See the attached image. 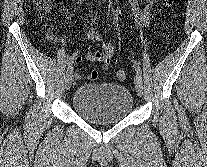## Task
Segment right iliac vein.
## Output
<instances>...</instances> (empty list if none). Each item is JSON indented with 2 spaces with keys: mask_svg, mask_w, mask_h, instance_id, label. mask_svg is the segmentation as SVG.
I'll return each mask as SVG.
<instances>
[{
  "mask_svg": "<svg viewBox=\"0 0 207 167\" xmlns=\"http://www.w3.org/2000/svg\"><path fill=\"white\" fill-rule=\"evenodd\" d=\"M73 67L69 68V70H67V74H66V78H65V88L66 90H68L73 83Z\"/></svg>",
  "mask_w": 207,
  "mask_h": 167,
  "instance_id": "1",
  "label": "right iliac vein"
}]
</instances>
